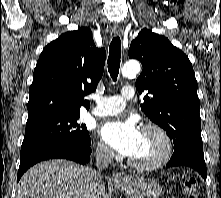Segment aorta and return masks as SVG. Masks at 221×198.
I'll return each instance as SVG.
<instances>
[{"label":"aorta","instance_id":"aorta-1","mask_svg":"<svg viewBox=\"0 0 221 198\" xmlns=\"http://www.w3.org/2000/svg\"><path fill=\"white\" fill-rule=\"evenodd\" d=\"M141 66L137 61H128L122 68V75L124 77L136 76L140 72Z\"/></svg>","mask_w":221,"mask_h":198}]
</instances>
